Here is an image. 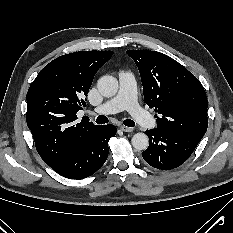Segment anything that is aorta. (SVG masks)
<instances>
[{
  "label": "aorta",
  "instance_id": "762f6f07",
  "mask_svg": "<svg viewBox=\"0 0 233 233\" xmlns=\"http://www.w3.org/2000/svg\"><path fill=\"white\" fill-rule=\"evenodd\" d=\"M97 88L101 95L112 97L117 93L118 81L113 76H103L97 82ZM132 145L137 150H145L149 145L148 136L144 133H136L132 137Z\"/></svg>",
  "mask_w": 233,
  "mask_h": 233
}]
</instances>
